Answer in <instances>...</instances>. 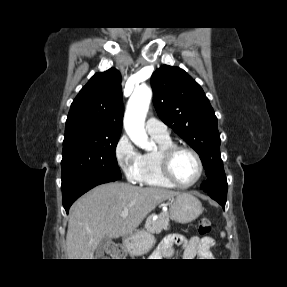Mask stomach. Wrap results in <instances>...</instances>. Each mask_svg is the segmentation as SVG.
I'll return each mask as SVG.
<instances>
[{
  "label": "stomach",
  "instance_id": "1",
  "mask_svg": "<svg viewBox=\"0 0 287 287\" xmlns=\"http://www.w3.org/2000/svg\"><path fill=\"white\" fill-rule=\"evenodd\" d=\"M203 208L200 200L189 193H180L170 199L171 218L181 224H187L202 214ZM155 238L147 231H139L124 240V246L132 255H143L151 250Z\"/></svg>",
  "mask_w": 287,
  "mask_h": 287
}]
</instances>
